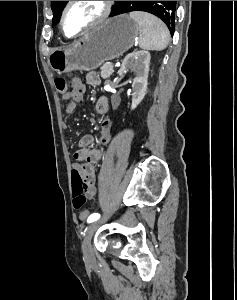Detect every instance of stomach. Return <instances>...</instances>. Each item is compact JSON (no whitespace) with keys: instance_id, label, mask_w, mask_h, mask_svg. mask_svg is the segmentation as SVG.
<instances>
[{"instance_id":"1","label":"stomach","mask_w":237,"mask_h":300,"mask_svg":"<svg viewBox=\"0 0 237 300\" xmlns=\"http://www.w3.org/2000/svg\"><path fill=\"white\" fill-rule=\"evenodd\" d=\"M137 23L129 15H119L96 25L69 49L57 47L48 57V65L56 73L93 71L104 61L116 59L128 51L139 37Z\"/></svg>"}]
</instances>
